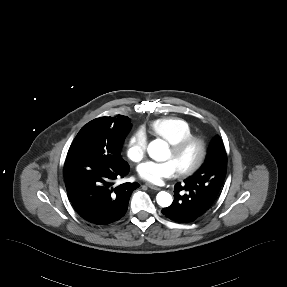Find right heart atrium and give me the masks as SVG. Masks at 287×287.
<instances>
[{"instance_id": "right-heart-atrium-1", "label": "right heart atrium", "mask_w": 287, "mask_h": 287, "mask_svg": "<svg viewBox=\"0 0 287 287\" xmlns=\"http://www.w3.org/2000/svg\"><path fill=\"white\" fill-rule=\"evenodd\" d=\"M146 149V136L141 129H137L128 139L126 146L127 157L133 162H139L145 157Z\"/></svg>"}]
</instances>
